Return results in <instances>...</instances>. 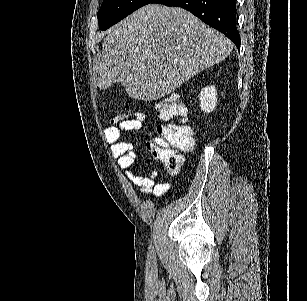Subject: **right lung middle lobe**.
<instances>
[{"label": "right lung middle lobe", "mask_w": 307, "mask_h": 301, "mask_svg": "<svg viewBox=\"0 0 307 301\" xmlns=\"http://www.w3.org/2000/svg\"><path fill=\"white\" fill-rule=\"evenodd\" d=\"M152 2L153 0H104L97 13L99 28L106 30L133 11Z\"/></svg>", "instance_id": "right-lung-middle-lobe-1"}]
</instances>
